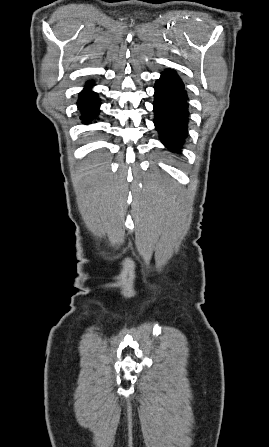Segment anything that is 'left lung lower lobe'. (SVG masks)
<instances>
[{
    "instance_id": "0a47b994",
    "label": "left lung lower lobe",
    "mask_w": 269,
    "mask_h": 447,
    "mask_svg": "<svg viewBox=\"0 0 269 447\" xmlns=\"http://www.w3.org/2000/svg\"><path fill=\"white\" fill-rule=\"evenodd\" d=\"M155 127L163 144L177 153L187 138L188 104L184 84L174 70L166 69L155 84Z\"/></svg>"
}]
</instances>
